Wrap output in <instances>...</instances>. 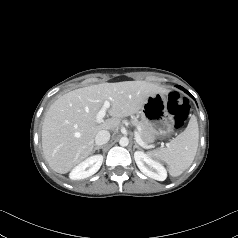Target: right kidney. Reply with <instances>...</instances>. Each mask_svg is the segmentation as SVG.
Returning <instances> with one entry per match:
<instances>
[{
  "mask_svg": "<svg viewBox=\"0 0 238 238\" xmlns=\"http://www.w3.org/2000/svg\"><path fill=\"white\" fill-rule=\"evenodd\" d=\"M103 162L102 155H93L80 164H78L70 173L69 177L72 180H81L92 176L101 167Z\"/></svg>",
  "mask_w": 238,
  "mask_h": 238,
  "instance_id": "obj_1",
  "label": "right kidney"
}]
</instances>
